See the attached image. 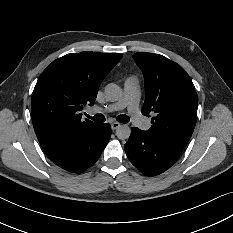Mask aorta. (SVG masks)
Instances as JSON below:
<instances>
[{
  "label": "aorta",
  "mask_w": 233,
  "mask_h": 233,
  "mask_svg": "<svg viewBox=\"0 0 233 233\" xmlns=\"http://www.w3.org/2000/svg\"><path fill=\"white\" fill-rule=\"evenodd\" d=\"M122 93V89L114 83L108 84L105 88L106 99L110 102L118 101L121 98ZM130 134L131 128L128 126V124H121L116 130V136L119 139H128Z\"/></svg>",
  "instance_id": "aorta-1"
}]
</instances>
